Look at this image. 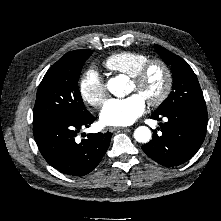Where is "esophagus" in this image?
I'll list each match as a JSON object with an SVG mask.
<instances>
[{
    "label": "esophagus",
    "mask_w": 221,
    "mask_h": 221,
    "mask_svg": "<svg viewBox=\"0 0 221 221\" xmlns=\"http://www.w3.org/2000/svg\"><path fill=\"white\" fill-rule=\"evenodd\" d=\"M121 129L126 130L127 128H124V127H109L110 132H114V131L121 130Z\"/></svg>",
    "instance_id": "34e87169"
}]
</instances>
